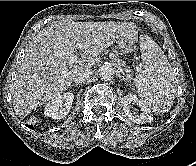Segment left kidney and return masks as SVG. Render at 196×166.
Here are the masks:
<instances>
[{
	"instance_id": "5707ae66",
	"label": "left kidney",
	"mask_w": 196,
	"mask_h": 166,
	"mask_svg": "<svg viewBox=\"0 0 196 166\" xmlns=\"http://www.w3.org/2000/svg\"><path fill=\"white\" fill-rule=\"evenodd\" d=\"M121 103L124 113L132 122L136 124H145L153 121V116L148 105L144 101L139 100L135 95L124 96ZM132 103H136L141 108L143 113H141L140 115H135L134 113H132L130 110Z\"/></svg>"
}]
</instances>
